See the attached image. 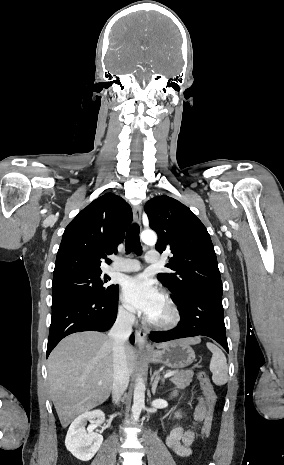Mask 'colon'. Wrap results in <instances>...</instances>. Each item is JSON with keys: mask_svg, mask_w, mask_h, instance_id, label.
<instances>
[{"mask_svg": "<svg viewBox=\"0 0 284 465\" xmlns=\"http://www.w3.org/2000/svg\"><path fill=\"white\" fill-rule=\"evenodd\" d=\"M198 378L200 380L201 388L204 392V395L206 397V409H207V417L204 421V427H203V435L207 436L210 431V424H211V417L210 415L213 413L215 405H216V395L213 390V387L207 377V375L204 372H199L198 373ZM204 442L208 441L207 437L203 438Z\"/></svg>", "mask_w": 284, "mask_h": 465, "instance_id": "obj_1", "label": "colon"}]
</instances>
